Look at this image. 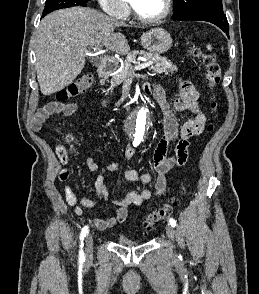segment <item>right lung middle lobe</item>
<instances>
[{
    "label": "right lung middle lobe",
    "mask_w": 259,
    "mask_h": 294,
    "mask_svg": "<svg viewBox=\"0 0 259 294\" xmlns=\"http://www.w3.org/2000/svg\"><path fill=\"white\" fill-rule=\"evenodd\" d=\"M91 0H46L45 8L42 15L45 16L48 13L61 8H67L72 6H86Z\"/></svg>",
    "instance_id": "1"
}]
</instances>
